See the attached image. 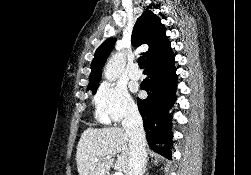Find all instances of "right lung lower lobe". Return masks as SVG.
Returning a JSON list of instances; mask_svg holds the SVG:
<instances>
[{
    "label": "right lung lower lobe",
    "mask_w": 251,
    "mask_h": 175,
    "mask_svg": "<svg viewBox=\"0 0 251 175\" xmlns=\"http://www.w3.org/2000/svg\"><path fill=\"white\" fill-rule=\"evenodd\" d=\"M174 54L163 61L147 65L144 74L147 78L141 83V89L146 90L148 97L137 99L139 112L143 118L148 144L155 152L168 158L171 157L170 141L171 116L168 114L174 103L177 87ZM156 143L166 144L156 147Z\"/></svg>",
    "instance_id": "1"
}]
</instances>
